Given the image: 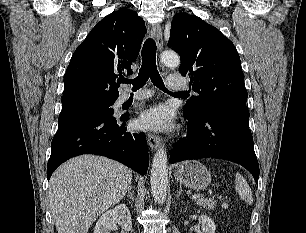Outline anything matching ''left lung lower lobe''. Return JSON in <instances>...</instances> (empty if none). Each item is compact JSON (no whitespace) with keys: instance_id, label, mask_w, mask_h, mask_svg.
<instances>
[{"instance_id":"left-lung-lower-lobe-1","label":"left lung lower lobe","mask_w":306,"mask_h":233,"mask_svg":"<svg viewBox=\"0 0 306 233\" xmlns=\"http://www.w3.org/2000/svg\"><path fill=\"white\" fill-rule=\"evenodd\" d=\"M188 120V131L174 146L170 162L213 157L242 165L258 184L259 165L249 130V112L221 108Z\"/></svg>"}]
</instances>
